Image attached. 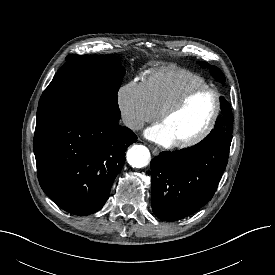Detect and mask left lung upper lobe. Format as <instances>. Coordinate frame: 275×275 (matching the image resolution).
<instances>
[{
    "label": "left lung upper lobe",
    "instance_id": "left-lung-upper-lobe-1",
    "mask_svg": "<svg viewBox=\"0 0 275 275\" xmlns=\"http://www.w3.org/2000/svg\"><path fill=\"white\" fill-rule=\"evenodd\" d=\"M202 67H209L212 75L219 80L221 83L225 82L224 74L221 72L219 68L213 65H209L206 62H200ZM221 110L222 115L217 119L215 128L211 132H219V131H226L229 133L233 132V114L231 111L230 104L223 98H220Z\"/></svg>",
    "mask_w": 275,
    "mask_h": 275
}]
</instances>
